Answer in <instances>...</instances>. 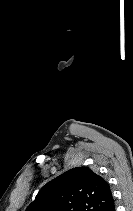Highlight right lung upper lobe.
I'll list each match as a JSON object with an SVG mask.
<instances>
[{
    "instance_id": "1",
    "label": "right lung upper lobe",
    "mask_w": 133,
    "mask_h": 211,
    "mask_svg": "<svg viewBox=\"0 0 133 211\" xmlns=\"http://www.w3.org/2000/svg\"><path fill=\"white\" fill-rule=\"evenodd\" d=\"M109 184L86 167L71 169L44 185L26 211H112Z\"/></svg>"
}]
</instances>
